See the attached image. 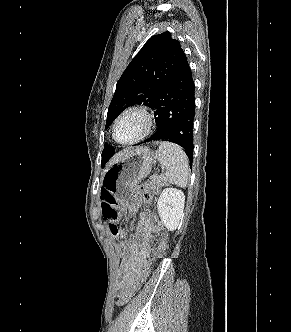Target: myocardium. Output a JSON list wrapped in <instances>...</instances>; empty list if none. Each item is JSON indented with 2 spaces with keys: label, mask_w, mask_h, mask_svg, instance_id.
I'll return each mask as SVG.
<instances>
[{
  "label": "myocardium",
  "mask_w": 291,
  "mask_h": 332,
  "mask_svg": "<svg viewBox=\"0 0 291 332\" xmlns=\"http://www.w3.org/2000/svg\"><path fill=\"white\" fill-rule=\"evenodd\" d=\"M130 113L140 114L144 118L145 127H144L143 132L138 137H136L130 141L123 142L117 138L116 129H117V126H118L119 122L121 121V119ZM154 127H155V119H154V116H153V113L151 112V110L145 105H133V106L127 107L118 115V117L116 118V120L113 124L112 136H113V139L119 144L133 145V144L139 143L140 141L144 140L147 136H149L152 133Z\"/></svg>",
  "instance_id": "obj_1"
}]
</instances>
